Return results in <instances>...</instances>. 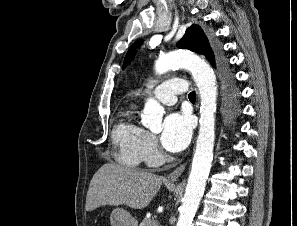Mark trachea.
<instances>
[{
  "label": "trachea",
  "instance_id": "trachea-1",
  "mask_svg": "<svg viewBox=\"0 0 297 226\" xmlns=\"http://www.w3.org/2000/svg\"><path fill=\"white\" fill-rule=\"evenodd\" d=\"M189 100L191 102H194L196 100V94L194 91H192L191 93H189Z\"/></svg>",
  "mask_w": 297,
  "mask_h": 226
}]
</instances>
